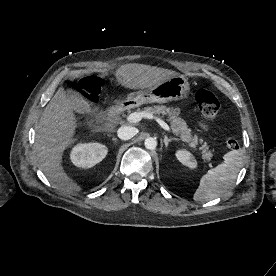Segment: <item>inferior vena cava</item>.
<instances>
[{
    "instance_id": "obj_1",
    "label": "inferior vena cava",
    "mask_w": 276,
    "mask_h": 276,
    "mask_svg": "<svg viewBox=\"0 0 276 276\" xmlns=\"http://www.w3.org/2000/svg\"><path fill=\"white\" fill-rule=\"evenodd\" d=\"M138 130L131 126H122L118 129L117 135L122 140H129L137 134Z\"/></svg>"
}]
</instances>
